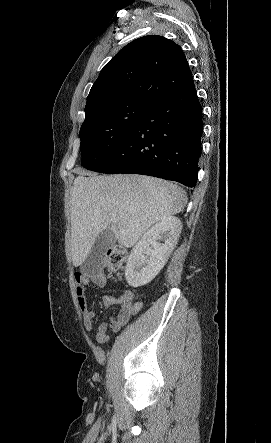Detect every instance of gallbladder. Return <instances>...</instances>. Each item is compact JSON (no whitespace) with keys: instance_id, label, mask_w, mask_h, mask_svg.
Segmentation results:
<instances>
[{"instance_id":"gallbladder-1","label":"gallbladder","mask_w":271,"mask_h":443,"mask_svg":"<svg viewBox=\"0 0 271 443\" xmlns=\"http://www.w3.org/2000/svg\"><path fill=\"white\" fill-rule=\"evenodd\" d=\"M115 243V235L110 229L100 231L91 251H88V260L80 261V268L83 269V272L101 273L102 269H107V260H110L111 257L110 251H107V249L114 247Z\"/></svg>"}]
</instances>
